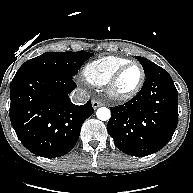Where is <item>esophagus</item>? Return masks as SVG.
I'll return each mask as SVG.
<instances>
[{"instance_id": "1", "label": "esophagus", "mask_w": 193, "mask_h": 193, "mask_svg": "<svg viewBox=\"0 0 193 193\" xmlns=\"http://www.w3.org/2000/svg\"><path fill=\"white\" fill-rule=\"evenodd\" d=\"M103 104H102V102H100V101H97V100H93L92 101V107L94 108V109H97L98 107H100V106H102Z\"/></svg>"}]
</instances>
